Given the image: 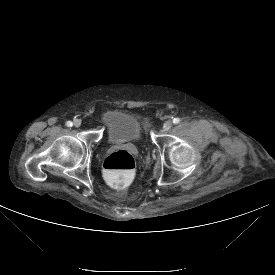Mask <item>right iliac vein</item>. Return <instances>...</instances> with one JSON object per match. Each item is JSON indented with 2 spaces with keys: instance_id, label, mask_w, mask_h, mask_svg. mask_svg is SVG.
Returning <instances> with one entry per match:
<instances>
[{
  "instance_id": "1",
  "label": "right iliac vein",
  "mask_w": 275,
  "mask_h": 275,
  "mask_svg": "<svg viewBox=\"0 0 275 275\" xmlns=\"http://www.w3.org/2000/svg\"><path fill=\"white\" fill-rule=\"evenodd\" d=\"M75 127H80L81 126V121L79 119H75L73 122Z\"/></svg>"
}]
</instances>
